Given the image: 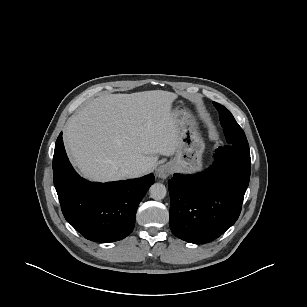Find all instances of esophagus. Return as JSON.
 Returning a JSON list of instances; mask_svg holds the SVG:
<instances>
[{
    "label": "esophagus",
    "instance_id": "1",
    "mask_svg": "<svg viewBox=\"0 0 307 307\" xmlns=\"http://www.w3.org/2000/svg\"><path fill=\"white\" fill-rule=\"evenodd\" d=\"M170 174V166L168 164L160 165L155 172V175L159 179H165Z\"/></svg>",
    "mask_w": 307,
    "mask_h": 307
}]
</instances>
